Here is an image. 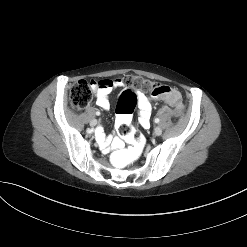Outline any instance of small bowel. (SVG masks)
<instances>
[{
	"label": "small bowel",
	"mask_w": 247,
	"mask_h": 247,
	"mask_svg": "<svg viewBox=\"0 0 247 247\" xmlns=\"http://www.w3.org/2000/svg\"><path fill=\"white\" fill-rule=\"evenodd\" d=\"M123 86L124 83L121 79H106L95 82L93 89L95 90L97 105L104 110L110 109V94L113 92V90ZM138 105L140 109L139 124L142 128L148 129L150 127V117L152 111L150 99L144 93H138ZM97 140L103 149H107L110 144L112 147H119L121 145V141L119 139L115 138L110 140L102 133L97 135Z\"/></svg>",
	"instance_id": "obj_1"
}]
</instances>
